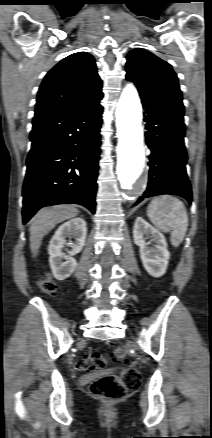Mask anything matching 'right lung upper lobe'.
<instances>
[{
    "mask_svg": "<svg viewBox=\"0 0 212 438\" xmlns=\"http://www.w3.org/2000/svg\"><path fill=\"white\" fill-rule=\"evenodd\" d=\"M95 60L86 52L74 53L44 77L37 96L35 117L91 106L103 93Z\"/></svg>",
    "mask_w": 212,
    "mask_h": 438,
    "instance_id": "cb5924a9",
    "label": "right lung upper lobe"
}]
</instances>
